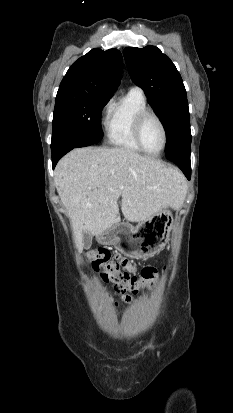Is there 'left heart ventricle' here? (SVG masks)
<instances>
[{"mask_svg":"<svg viewBox=\"0 0 233 413\" xmlns=\"http://www.w3.org/2000/svg\"><path fill=\"white\" fill-rule=\"evenodd\" d=\"M142 140L145 147L151 151H158L163 142V135L158 122L153 118L149 117L144 122L142 127Z\"/></svg>","mask_w":233,"mask_h":413,"instance_id":"obj_1","label":"left heart ventricle"}]
</instances>
